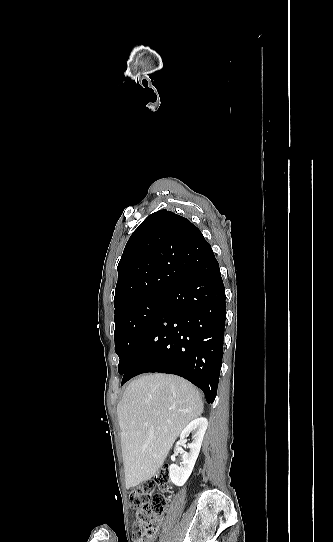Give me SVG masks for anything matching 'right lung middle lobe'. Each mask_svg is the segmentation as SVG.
Returning a JSON list of instances; mask_svg holds the SVG:
<instances>
[{
  "label": "right lung middle lobe",
  "mask_w": 333,
  "mask_h": 542,
  "mask_svg": "<svg viewBox=\"0 0 333 542\" xmlns=\"http://www.w3.org/2000/svg\"><path fill=\"white\" fill-rule=\"evenodd\" d=\"M168 292L159 293L145 301L127 306L115 314V352L119 356L118 372L124 374L134 352L151 322L166 304Z\"/></svg>",
  "instance_id": "dd1d6c3e"
}]
</instances>
